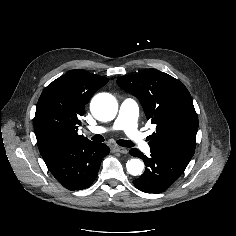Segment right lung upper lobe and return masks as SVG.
<instances>
[{"label": "right lung upper lobe", "mask_w": 236, "mask_h": 236, "mask_svg": "<svg viewBox=\"0 0 236 236\" xmlns=\"http://www.w3.org/2000/svg\"><path fill=\"white\" fill-rule=\"evenodd\" d=\"M108 79L74 69L50 83L41 93L36 106L34 131L42 156L73 142L90 141L78 135L79 117L93 94Z\"/></svg>", "instance_id": "right-lung-upper-lobe-1"}]
</instances>
